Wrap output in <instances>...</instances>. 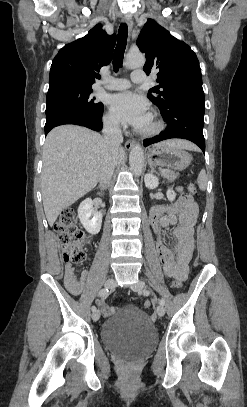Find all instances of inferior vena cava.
<instances>
[{
	"mask_svg": "<svg viewBox=\"0 0 247 407\" xmlns=\"http://www.w3.org/2000/svg\"><path fill=\"white\" fill-rule=\"evenodd\" d=\"M102 132L105 153L101 163L99 180L101 185L107 186L110 183L117 163L115 153L123 142V136L119 123L115 120H106L103 124Z\"/></svg>",
	"mask_w": 247,
	"mask_h": 407,
	"instance_id": "inferior-vena-cava-1",
	"label": "inferior vena cava"
}]
</instances>
